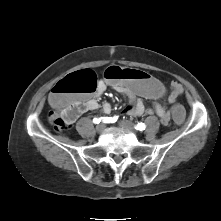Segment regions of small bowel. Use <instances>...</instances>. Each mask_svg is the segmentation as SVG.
I'll use <instances>...</instances> for the list:
<instances>
[{"mask_svg":"<svg viewBox=\"0 0 221 221\" xmlns=\"http://www.w3.org/2000/svg\"><path fill=\"white\" fill-rule=\"evenodd\" d=\"M108 85H110L112 89L117 93H120L128 98L129 103L123 111L125 114L132 116H141L143 114H156L160 118L162 124L166 125L169 123L170 109H167L164 105L158 103L156 100H154L152 108L146 109L141 99L142 97L136 95L130 87L125 86L123 84L111 85L108 84L105 80H100L97 83L94 93L84 94L77 99L76 103L79 105V108L77 112L73 115L71 124L74 123L75 120L84 112L94 111L99 108L98 99L106 91ZM182 93V85L176 81H172L170 84V93L168 96V101L171 104L177 102V99L182 95ZM111 109L112 107L109 103H104L102 106V110L106 114L110 113Z\"/></svg>","mask_w":221,"mask_h":221,"instance_id":"obj_1","label":"small bowel"}]
</instances>
